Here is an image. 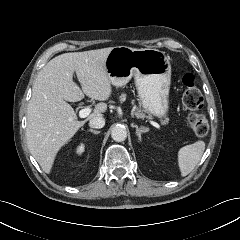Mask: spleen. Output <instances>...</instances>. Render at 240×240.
<instances>
[{"label": "spleen", "mask_w": 240, "mask_h": 240, "mask_svg": "<svg viewBox=\"0 0 240 240\" xmlns=\"http://www.w3.org/2000/svg\"><path fill=\"white\" fill-rule=\"evenodd\" d=\"M205 150V142L197 141L193 144L186 145L178 151V166L181 176H187L193 171L200 161Z\"/></svg>", "instance_id": "spleen-1"}]
</instances>
